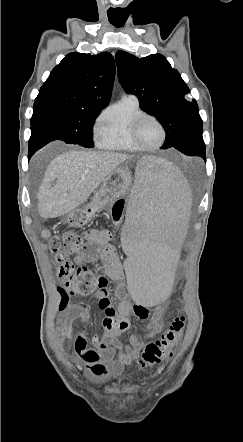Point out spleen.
<instances>
[{"mask_svg": "<svg viewBox=\"0 0 243 442\" xmlns=\"http://www.w3.org/2000/svg\"><path fill=\"white\" fill-rule=\"evenodd\" d=\"M131 200L122 228L127 296L136 307H160L173 291L175 263L186 226H192L185 172L157 157H144L133 171Z\"/></svg>", "mask_w": 243, "mask_h": 442, "instance_id": "1", "label": "spleen"}]
</instances>
